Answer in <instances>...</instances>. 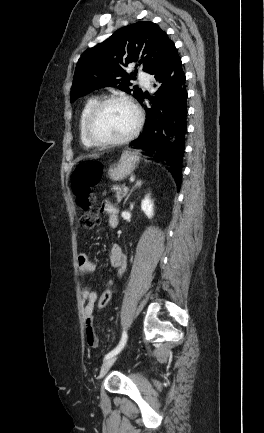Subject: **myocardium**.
Here are the masks:
<instances>
[{"mask_svg":"<svg viewBox=\"0 0 264 433\" xmlns=\"http://www.w3.org/2000/svg\"><path fill=\"white\" fill-rule=\"evenodd\" d=\"M111 103H123L128 105L133 112L135 113L136 121L132 128V130L126 134L125 136L118 138V139H111V140H103L95 137L92 133L91 126L92 123L99 113V111L105 107L108 104ZM143 124V114L139 106L129 97L126 96H120V95H113L108 96L105 98H102L98 100L92 108L89 110L85 121H84V134L89 141V143L96 147H107V146H119L123 145L125 143H128L131 141L134 137H136L142 127Z\"/></svg>","mask_w":264,"mask_h":433,"instance_id":"f54148a6","label":"myocardium"}]
</instances>
